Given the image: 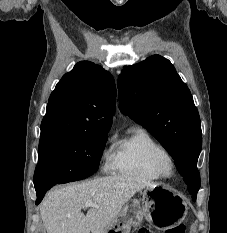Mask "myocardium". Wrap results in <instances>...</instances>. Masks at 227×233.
<instances>
[{"label": "myocardium", "mask_w": 227, "mask_h": 233, "mask_svg": "<svg viewBox=\"0 0 227 233\" xmlns=\"http://www.w3.org/2000/svg\"><path fill=\"white\" fill-rule=\"evenodd\" d=\"M154 167L162 178H171L176 172L175 160L167 152L160 154L155 158Z\"/></svg>", "instance_id": "obj_1"}]
</instances>
